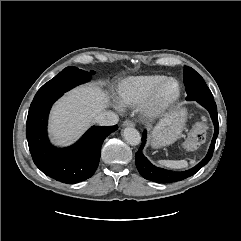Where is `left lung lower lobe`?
<instances>
[{
	"label": "left lung lower lobe",
	"mask_w": 241,
	"mask_h": 241,
	"mask_svg": "<svg viewBox=\"0 0 241 241\" xmlns=\"http://www.w3.org/2000/svg\"><path fill=\"white\" fill-rule=\"evenodd\" d=\"M195 101H197L200 105H202L209 111L215 127L214 136L206 157L194 168L186 170L184 172H172L170 170L155 167L148 161V159L142 153V150L146 144L147 137L145 130L141 139V146L138 152L135 154V162L137 169L145 179L155 181L158 183H172L181 181L194 175L201 167L205 166L211 159L215 147L216 138L218 136L217 106L213 98H195Z\"/></svg>",
	"instance_id": "0a47b994"
}]
</instances>
